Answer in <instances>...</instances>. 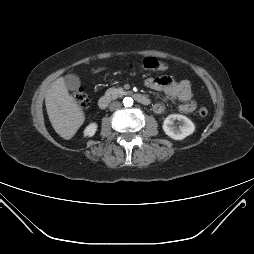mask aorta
Returning <instances> with one entry per match:
<instances>
[{
	"label": "aorta",
	"mask_w": 254,
	"mask_h": 254,
	"mask_svg": "<svg viewBox=\"0 0 254 254\" xmlns=\"http://www.w3.org/2000/svg\"><path fill=\"white\" fill-rule=\"evenodd\" d=\"M123 105L125 107H131L133 105V99L131 97H125L123 99Z\"/></svg>",
	"instance_id": "obj_1"
}]
</instances>
